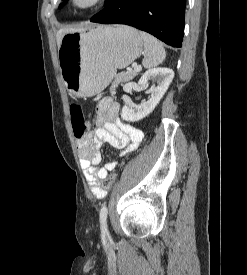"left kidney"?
Wrapping results in <instances>:
<instances>
[{"mask_svg":"<svg viewBox=\"0 0 247 275\" xmlns=\"http://www.w3.org/2000/svg\"><path fill=\"white\" fill-rule=\"evenodd\" d=\"M173 78L174 72L170 68L158 67L146 71L138 81V84L141 86V88H145L148 86V83L151 80L154 84L153 87L149 90L151 97L148 101L140 105H124L121 111L122 120L136 122L152 113V111L166 93Z\"/></svg>","mask_w":247,"mask_h":275,"instance_id":"5707ae66","label":"left kidney"}]
</instances>
